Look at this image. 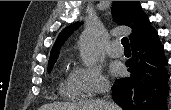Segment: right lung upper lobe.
<instances>
[{
	"instance_id": "right-lung-upper-lobe-1",
	"label": "right lung upper lobe",
	"mask_w": 171,
	"mask_h": 110,
	"mask_svg": "<svg viewBox=\"0 0 171 110\" xmlns=\"http://www.w3.org/2000/svg\"><path fill=\"white\" fill-rule=\"evenodd\" d=\"M112 15L118 24L129 26L132 29L129 36L131 45L156 32L147 15L142 11L139 1H113ZM78 25L79 23L76 22L60 32L52 47L50 58L59 55V49L73 31L77 29Z\"/></svg>"
}]
</instances>
